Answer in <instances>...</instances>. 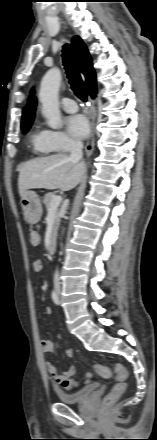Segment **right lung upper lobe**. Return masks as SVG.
<instances>
[{
    "label": "right lung upper lobe",
    "mask_w": 157,
    "mask_h": 440,
    "mask_svg": "<svg viewBox=\"0 0 157 440\" xmlns=\"http://www.w3.org/2000/svg\"><path fill=\"white\" fill-rule=\"evenodd\" d=\"M72 45L79 67L86 77L88 91L91 96L96 95V77L89 52L79 36H75L72 39ZM31 93L34 94V91H32ZM35 107L36 99L33 95H31L28 101V105L23 109L22 124L32 123L35 115Z\"/></svg>",
    "instance_id": "1"
}]
</instances>
